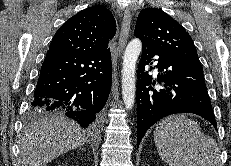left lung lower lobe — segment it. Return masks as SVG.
Here are the masks:
<instances>
[{"mask_svg":"<svg viewBox=\"0 0 231 166\" xmlns=\"http://www.w3.org/2000/svg\"><path fill=\"white\" fill-rule=\"evenodd\" d=\"M154 56L159 57L156 86L145 71ZM136 92L137 145L152 125L171 114L194 113L217 126L200 62L169 58L143 46Z\"/></svg>","mask_w":231,"mask_h":166,"instance_id":"1","label":"left lung lower lobe"}]
</instances>
